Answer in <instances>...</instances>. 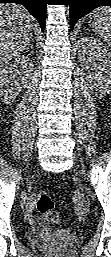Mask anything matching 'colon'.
<instances>
[{
	"instance_id": "1",
	"label": "colon",
	"mask_w": 111,
	"mask_h": 257,
	"mask_svg": "<svg viewBox=\"0 0 111 257\" xmlns=\"http://www.w3.org/2000/svg\"><path fill=\"white\" fill-rule=\"evenodd\" d=\"M36 208L49 222H59V214L54 209V202L47 191L42 190L37 194Z\"/></svg>"
}]
</instances>
